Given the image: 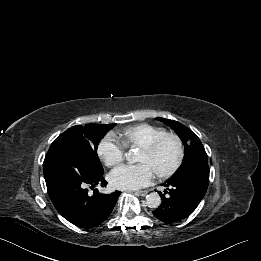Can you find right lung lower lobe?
Returning <instances> with one entry per match:
<instances>
[{"label":"right lung lower lobe","instance_id":"obj_1","mask_svg":"<svg viewBox=\"0 0 261 261\" xmlns=\"http://www.w3.org/2000/svg\"><path fill=\"white\" fill-rule=\"evenodd\" d=\"M44 177L57 211L69 222L86 229L100 225L110 215L121 193L98 194L96 185L103 187L107 182L103 174L85 168L78 151L71 155L69 164L46 167Z\"/></svg>","mask_w":261,"mask_h":261}]
</instances>
